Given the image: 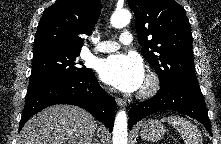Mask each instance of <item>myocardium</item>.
<instances>
[{"mask_svg":"<svg viewBox=\"0 0 221 144\" xmlns=\"http://www.w3.org/2000/svg\"><path fill=\"white\" fill-rule=\"evenodd\" d=\"M159 89V79L156 74L150 72L145 78L143 87L139 92L140 98H150L156 94Z\"/></svg>","mask_w":221,"mask_h":144,"instance_id":"1","label":"myocardium"}]
</instances>
